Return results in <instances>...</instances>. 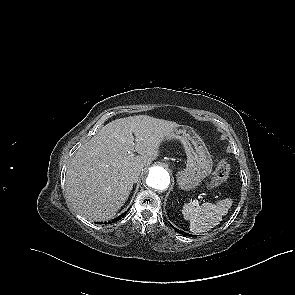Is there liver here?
Wrapping results in <instances>:
<instances>
[{
    "mask_svg": "<svg viewBox=\"0 0 295 295\" xmlns=\"http://www.w3.org/2000/svg\"><path fill=\"white\" fill-rule=\"evenodd\" d=\"M178 127L147 115L116 119L102 127L68 166L65 188L73 208L94 221L115 216L143 168L159 156L161 143ZM133 150L140 155L131 156Z\"/></svg>",
    "mask_w": 295,
    "mask_h": 295,
    "instance_id": "6515ba94",
    "label": "liver"
}]
</instances>
